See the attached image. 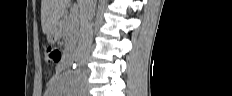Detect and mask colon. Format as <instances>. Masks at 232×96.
Wrapping results in <instances>:
<instances>
[{
  "mask_svg": "<svg viewBox=\"0 0 232 96\" xmlns=\"http://www.w3.org/2000/svg\"><path fill=\"white\" fill-rule=\"evenodd\" d=\"M46 59L49 63H58L61 60V52L53 47H48L46 49Z\"/></svg>",
  "mask_w": 232,
  "mask_h": 96,
  "instance_id": "obj_1",
  "label": "colon"
}]
</instances>
